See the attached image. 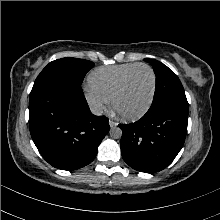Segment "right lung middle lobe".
<instances>
[{
	"label": "right lung middle lobe",
	"mask_w": 220,
	"mask_h": 220,
	"mask_svg": "<svg viewBox=\"0 0 220 220\" xmlns=\"http://www.w3.org/2000/svg\"><path fill=\"white\" fill-rule=\"evenodd\" d=\"M94 63L78 58H61L50 62L36 78L33 88L48 83H66L81 86L86 73Z\"/></svg>",
	"instance_id": "dd1d6c3e"
}]
</instances>
